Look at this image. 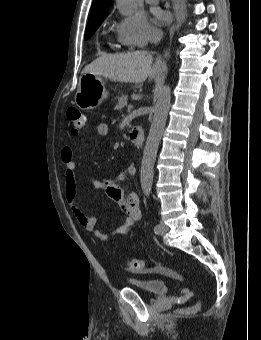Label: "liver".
<instances>
[{
	"instance_id": "1",
	"label": "liver",
	"mask_w": 261,
	"mask_h": 340,
	"mask_svg": "<svg viewBox=\"0 0 261 340\" xmlns=\"http://www.w3.org/2000/svg\"><path fill=\"white\" fill-rule=\"evenodd\" d=\"M152 62L153 56L146 51L104 54L87 65L83 74L92 73L126 83H142L147 78L151 81L159 70V65L151 67Z\"/></svg>"
}]
</instances>
